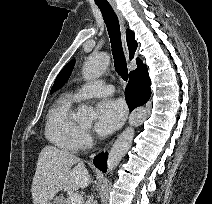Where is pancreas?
<instances>
[{
    "mask_svg": "<svg viewBox=\"0 0 212 204\" xmlns=\"http://www.w3.org/2000/svg\"><path fill=\"white\" fill-rule=\"evenodd\" d=\"M64 204H71L70 198H67V200L64 202Z\"/></svg>",
    "mask_w": 212,
    "mask_h": 204,
    "instance_id": "obj_1",
    "label": "pancreas"
}]
</instances>
